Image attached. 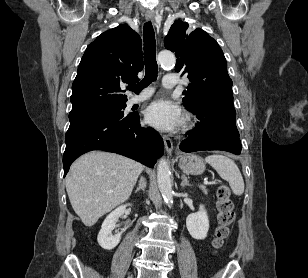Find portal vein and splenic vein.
<instances>
[{
  "label": "portal vein and splenic vein",
  "instance_id": "1",
  "mask_svg": "<svg viewBox=\"0 0 308 278\" xmlns=\"http://www.w3.org/2000/svg\"><path fill=\"white\" fill-rule=\"evenodd\" d=\"M203 184L207 185V184H211V182L205 180V181L203 182Z\"/></svg>",
  "mask_w": 308,
  "mask_h": 278
}]
</instances>
